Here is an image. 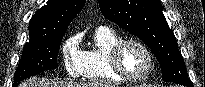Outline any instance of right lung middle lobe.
Masks as SVG:
<instances>
[{
  "label": "right lung middle lobe",
  "instance_id": "dd1d6c3e",
  "mask_svg": "<svg viewBox=\"0 0 205 87\" xmlns=\"http://www.w3.org/2000/svg\"><path fill=\"white\" fill-rule=\"evenodd\" d=\"M64 33L30 38L25 44L22 57L15 72L13 87H17L20 81L51 68H57V55Z\"/></svg>",
  "mask_w": 205,
  "mask_h": 87
}]
</instances>
